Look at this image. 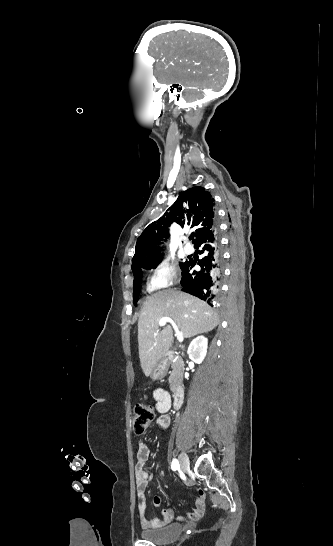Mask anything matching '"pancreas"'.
<instances>
[{
	"label": "pancreas",
	"instance_id": "obj_1",
	"mask_svg": "<svg viewBox=\"0 0 333 546\" xmlns=\"http://www.w3.org/2000/svg\"><path fill=\"white\" fill-rule=\"evenodd\" d=\"M169 364L172 368V372L170 373L169 377V383L171 391L174 392L182 382L184 363L180 356L174 355L173 359L169 362Z\"/></svg>",
	"mask_w": 333,
	"mask_h": 546
}]
</instances>
